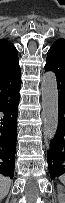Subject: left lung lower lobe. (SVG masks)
<instances>
[{
    "label": "left lung lower lobe",
    "mask_w": 65,
    "mask_h": 203,
    "mask_svg": "<svg viewBox=\"0 0 65 203\" xmlns=\"http://www.w3.org/2000/svg\"><path fill=\"white\" fill-rule=\"evenodd\" d=\"M45 70L56 74L59 94V119L54 139L47 153L48 168L51 179L65 175V47L52 46L48 53Z\"/></svg>",
    "instance_id": "0a47b994"
}]
</instances>
